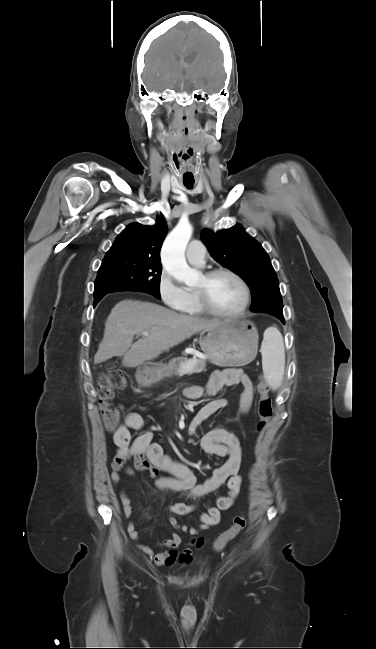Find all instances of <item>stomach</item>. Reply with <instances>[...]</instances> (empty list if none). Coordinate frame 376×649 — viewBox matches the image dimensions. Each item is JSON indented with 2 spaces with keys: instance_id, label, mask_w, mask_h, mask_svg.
Returning <instances> with one entry per match:
<instances>
[{
  "instance_id": "0dacf381",
  "label": "stomach",
  "mask_w": 376,
  "mask_h": 649,
  "mask_svg": "<svg viewBox=\"0 0 376 649\" xmlns=\"http://www.w3.org/2000/svg\"><path fill=\"white\" fill-rule=\"evenodd\" d=\"M199 344L208 359L221 367L242 366L251 362L257 352L258 333L248 321H226L219 326L201 331ZM177 362L172 360L167 366L173 373ZM163 371L160 366L144 367L141 383L151 384L160 379Z\"/></svg>"
}]
</instances>
